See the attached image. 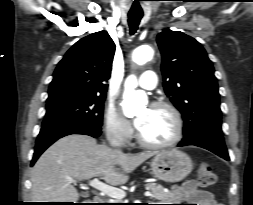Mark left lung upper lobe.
Instances as JSON below:
<instances>
[{"label":"left lung upper lobe","mask_w":253,"mask_h":205,"mask_svg":"<svg viewBox=\"0 0 253 205\" xmlns=\"http://www.w3.org/2000/svg\"><path fill=\"white\" fill-rule=\"evenodd\" d=\"M163 86L184 120L183 142L207 132L222 134L218 85L206 51L194 38L164 30L157 36Z\"/></svg>","instance_id":"obj_1"}]
</instances>
